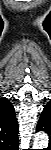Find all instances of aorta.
I'll list each match as a JSON object with an SVG mask.
<instances>
[{
	"label": "aorta",
	"mask_w": 51,
	"mask_h": 150,
	"mask_svg": "<svg viewBox=\"0 0 51 150\" xmlns=\"http://www.w3.org/2000/svg\"><path fill=\"white\" fill-rule=\"evenodd\" d=\"M48 146V136L45 132H38L34 137V149H42Z\"/></svg>",
	"instance_id": "aorta-1"
}]
</instances>
